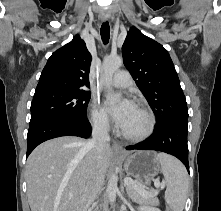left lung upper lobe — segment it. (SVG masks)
<instances>
[{"label": "left lung upper lobe", "instance_id": "obj_1", "mask_svg": "<svg viewBox=\"0 0 221 211\" xmlns=\"http://www.w3.org/2000/svg\"><path fill=\"white\" fill-rule=\"evenodd\" d=\"M126 68L156 115V127L188 118L185 96L168 51L132 27L122 46Z\"/></svg>", "mask_w": 221, "mask_h": 211}]
</instances>
